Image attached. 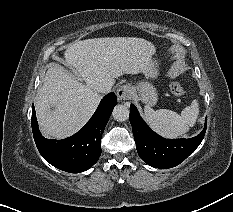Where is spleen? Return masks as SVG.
I'll return each mask as SVG.
<instances>
[{
    "mask_svg": "<svg viewBox=\"0 0 233 212\" xmlns=\"http://www.w3.org/2000/svg\"><path fill=\"white\" fill-rule=\"evenodd\" d=\"M199 114V104L195 99L181 114L168 109L154 110L145 106L144 115L154 131L166 138H177L184 135L196 123Z\"/></svg>",
    "mask_w": 233,
    "mask_h": 212,
    "instance_id": "1",
    "label": "spleen"
}]
</instances>
